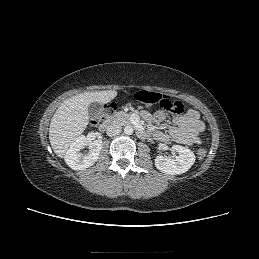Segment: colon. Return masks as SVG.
<instances>
[{"instance_id":"5ec220e1","label":"colon","mask_w":259,"mask_h":259,"mask_svg":"<svg viewBox=\"0 0 259 259\" xmlns=\"http://www.w3.org/2000/svg\"><path fill=\"white\" fill-rule=\"evenodd\" d=\"M136 101L147 104V105H159L162 109L170 111L175 114H182L185 111V106L180 101H173L170 97L152 92L147 90H141L134 94ZM116 109L115 103L106 104L103 107L102 116L108 117L111 116ZM207 151L205 149H199L197 151V157L202 160L205 158Z\"/></svg>"}]
</instances>
